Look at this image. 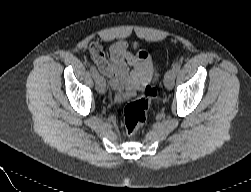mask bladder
<instances>
[{"label": "bladder", "mask_w": 251, "mask_h": 192, "mask_svg": "<svg viewBox=\"0 0 251 192\" xmlns=\"http://www.w3.org/2000/svg\"><path fill=\"white\" fill-rule=\"evenodd\" d=\"M158 77V71L156 70L154 73V78L156 79Z\"/></svg>", "instance_id": "31cf9c89"}]
</instances>
